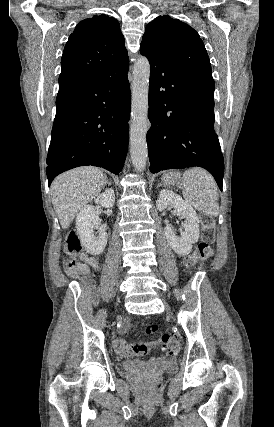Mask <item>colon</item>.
<instances>
[{
  "label": "colon",
  "instance_id": "colon-1",
  "mask_svg": "<svg viewBox=\"0 0 274 427\" xmlns=\"http://www.w3.org/2000/svg\"><path fill=\"white\" fill-rule=\"evenodd\" d=\"M203 228L201 231V239L196 245L195 251L188 257L187 264L192 266L198 260L208 259L209 254H213V243L215 240V224L214 220L210 216L203 217ZM81 249L78 235L75 233H70L66 238V241L63 246L66 259L64 260V270L65 272L73 275H77L81 264L77 258L78 253ZM158 330L156 324H149L144 328V334H152ZM161 340L163 342V350L167 355H174L179 349V339L171 336L167 333L162 334ZM114 348L117 353L124 356H147L149 351V346L145 342L131 343L123 338H119L114 342ZM153 386H149L148 391L149 395H156L157 389L162 388L161 380H154Z\"/></svg>",
  "mask_w": 274,
  "mask_h": 427
}]
</instances>
